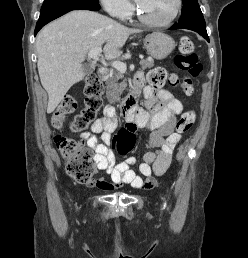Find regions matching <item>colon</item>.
Listing matches in <instances>:
<instances>
[{"instance_id": "1", "label": "colon", "mask_w": 248, "mask_h": 258, "mask_svg": "<svg viewBox=\"0 0 248 258\" xmlns=\"http://www.w3.org/2000/svg\"><path fill=\"white\" fill-rule=\"evenodd\" d=\"M193 49L194 42L189 37H181L179 40L180 52L175 57V64L179 69L187 71L190 76L198 77L202 71V66ZM147 80L150 85L155 87H162L166 82L174 86L179 85L181 91L187 96H191L194 93V86L190 78L186 77L183 80H179L176 76L168 74L163 68L150 70ZM102 92L103 85L101 79L96 75L88 76L84 86L85 106L72 121V131H85L88 125L95 119L102 105ZM75 108V98L66 96L52 115L51 123L53 127H63L66 115L73 112ZM195 119L196 114L194 111L184 112L176 124V131L178 133L189 131L193 127ZM133 138L134 136L125 127H122L114 137V147L120 154H128L133 146ZM54 141L60 154L67 161V173L79 183L92 182L93 165L90 155L83 151L81 145L76 140L62 135H56Z\"/></svg>"}]
</instances>
